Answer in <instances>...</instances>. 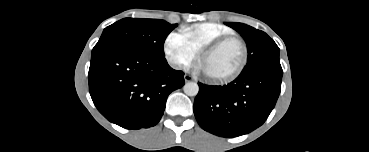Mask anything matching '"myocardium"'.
<instances>
[{
    "instance_id": "1",
    "label": "myocardium",
    "mask_w": 369,
    "mask_h": 152,
    "mask_svg": "<svg viewBox=\"0 0 369 152\" xmlns=\"http://www.w3.org/2000/svg\"><path fill=\"white\" fill-rule=\"evenodd\" d=\"M230 41H237L241 45L242 60L239 64V66L233 72H231L228 75L220 76V77H212V76L206 75V77L213 83L222 84V83H227V82L233 81L234 79H236L243 72V70L245 69V67L247 65L248 58H249L248 46H247L246 42L244 41V39H242L240 36H237V35L223 36V37H220V38L214 40L213 42L209 43L208 45H206L199 52V61L201 62L202 59L207 54L219 49L221 46H223L224 44H226Z\"/></svg>"
}]
</instances>
